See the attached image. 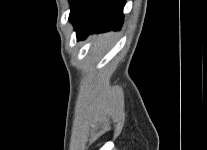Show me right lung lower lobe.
<instances>
[{
	"label": "right lung lower lobe",
	"mask_w": 207,
	"mask_h": 150,
	"mask_svg": "<svg viewBox=\"0 0 207 150\" xmlns=\"http://www.w3.org/2000/svg\"><path fill=\"white\" fill-rule=\"evenodd\" d=\"M124 5L125 0H74L69 20L77 38L81 40L90 33L120 29Z\"/></svg>",
	"instance_id": "1"
}]
</instances>
